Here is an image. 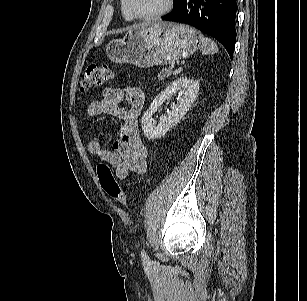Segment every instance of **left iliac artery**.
Here are the masks:
<instances>
[{"label": "left iliac artery", "instance_id": "1", "mask_svg": "<svg viewBox=\"0 0 307 301\" xmlns=\"http://www.w3.org/2000/svg\"><path fill=\"white\" fill-rule=\"evenodd\" d=\"M141 258H142L143 263L150 264V259L144 249H142L141 251Z\"/></svg>", "mask_w": 307, "mask_h": 301}]
</instances>
